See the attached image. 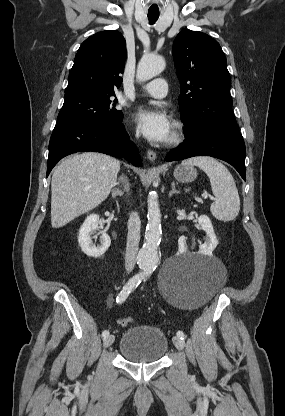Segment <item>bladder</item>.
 Wrapping results in <instances>:
<instances>
[{
	"mask_svg": "<svg viewBox=\"0 0 285 416\" xmlns=\"http://www.w3.org/2000/svg\"><path fill=\"white\" fill-rule=\"evenodd\" d=\"M118 349L131 362H158L168 351V338L154 325H136L123 333Z\"/></svg>",
	"mask_w": 285,
	"mask_h": 416,
	"instance_id": "1",
	"label": "bladder"
}]
</instances>
